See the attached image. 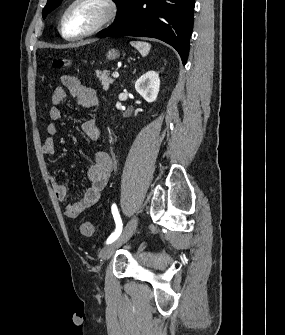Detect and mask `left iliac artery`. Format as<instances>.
<instances>
[{
  "label": "left iliac artery",
  "instance_id": "obj_1",
  "mask_svg": "<svg viewBox=\"0 0 285 335\" xmlns=\"http://www.w3.org/2000/svg\"><path fill=\"white\" fill-rule=\"evenodd\" d=\"M111 210H112V214H113V217L116 223V229L107 239L106 241L107 244L114 242L120 236L122 232V226H123L117 206L115 204L112 205Z\"/></svg>",
  "mask_w": 285,
  "mask_h": 335
}]
</instances>
